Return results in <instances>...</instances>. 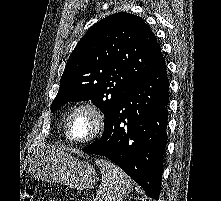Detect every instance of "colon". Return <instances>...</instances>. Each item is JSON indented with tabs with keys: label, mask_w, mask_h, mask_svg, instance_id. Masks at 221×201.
<instances>
[{
	"label": "colon",
	"mask_w": 221,
	"mask_h": 201,
	"mask_svg": "<svg viewBox=\"0 0 221 201\" xmlns=\"http://www.w3.org/2000/svg\"><path fill=\"white\" fill-rule=\"evenodd\" d=\"M34 191L28 188L25 193L23 194L21 201H34Z\"/></svg>",
	"instance_id": "5ec220e1"
}]
</instances>
